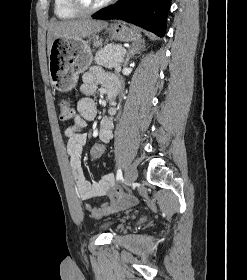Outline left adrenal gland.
<instances>
[{
  "instance_id": "1",
  "label": "left adrenal gland",
  "mask_w": 247,
  "mask_h": 280,
  "mask_svg": "<svg viewBox=\"0 0 247 280\" xmlns=\"http://www.w3.org/2000/svg\"><path fill=\"white\" fill-rule=\"evenodd\" d=\"M145 47L144 40H139L135 43H132V46L128 49L126 59L124 62V67L128 65L129 60L132 56H134L136 53H139L140 50H142Z\"/></svg>"
}]
</instances>
